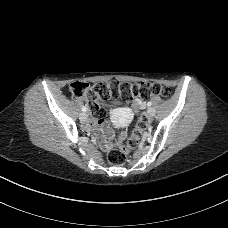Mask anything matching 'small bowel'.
Instances as JSON below:
<instances>
[{
  "label": "small bowel",
  "instance_id": "c3829d8e",
  "mask_svg": "<svg viewBox=\"0 0 228 228\" xmlns=\"http://www.w3.org/2000/svg\"><path fill=\"white\" fill-rule=\"evenodd\" d=\"M134 107L143 109L144 104L140 100H137L134 104ZM114 121L120 127H123L126 124V121L122 117L117 115L114 117ZM87 128L95 132L100 142V146L104 150H109L113 144L122 143L125 138L124 132H120L119 134L115 135L114 131L106 121H103L101 130H96L93 120L87 125Z\"/></svg>",
  "mask_w": 228,
  "mask_h": 228
}]
</instances>
